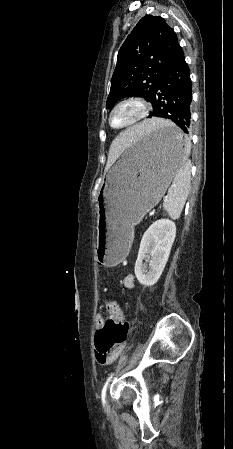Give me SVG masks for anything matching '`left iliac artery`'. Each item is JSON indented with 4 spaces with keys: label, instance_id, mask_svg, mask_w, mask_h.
Instances as JSON below:
<instances>
[{
    "label": "left iliac artery",
    "instance_id": "44dca946",
    "mask_svg": "<svg viewBox=\"0 0 233 449\" xmlns=\"http://www.w3.org/2000/svg\"><path fill=\"white\" fill-rule=\"evenodd\" d=\"M114 374H115V373H112V374L108 377V379L106 380V382H105V384H104V386H103V389H102V392H101V399H102L103 405L105 404L106 390H107L108 384H109V382L111 381V379L113 378Z\"/></svg>",
    "mask_w": 233,
    "mask_h": 449
}]
</instances>
